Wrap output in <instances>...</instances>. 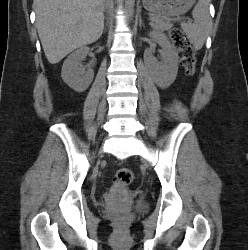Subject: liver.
Here are the masks:
<instances>
[{
    "label": "liver",
    "mask_w": 248,
    "mask_h": 250,
    "mask_svg": "<svg viewBox=\"0 0 248 250\" xmlns=\"http://www.w3.org/2000/svg\"><path fill=\"white\" fill-rule=\"evenodd\" d=\"M105 0H34L36 27L49 63L100 38Z\"/></svg>",
    "instance_id": "6515ba94"
}]
</instances>
